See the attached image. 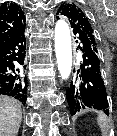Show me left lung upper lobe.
<instances>
[{
	"label": "left lung upper lobe",
	"mask_w": 117,
	"mask_h": 136,
	"mask_svg": "<svg viewBox=\"0 0 117 136\" xmlns=\"http://www.w3.org/2000/svg\"><path fill=\"white\" fill-rule=\"evenodd\" d=\"M57 14L64 15L69 18V22L73 30L80 31L85 34L91 41L93 49L98 53V44L94 34V29L89 18L84 11L74 3L62 4Z\"/></svg>",
	"instance_id": "1"
}]
</instances>
